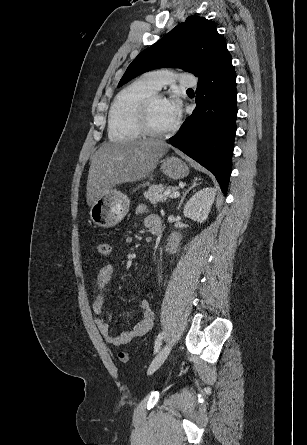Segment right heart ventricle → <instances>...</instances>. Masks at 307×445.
<instances>
[{"label":"right heart ventricle","instance_id":"1","mask_svg":"<svg viewBox=\"0 0 307 445\" xmlns=\"http://www.w3.org/2000/svg\"><path fill=\"white\" fill-rule=\"evenodd\" d=\"M155 92L148 81H137L124 89L114 100L108 119V134L111 140H145L139 117V106L146 97Z\"/></svg>","mask_w":307,"mask_h":445}]
</instances>
